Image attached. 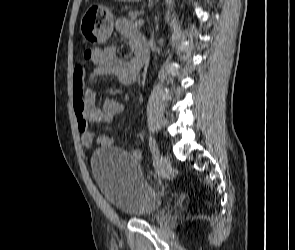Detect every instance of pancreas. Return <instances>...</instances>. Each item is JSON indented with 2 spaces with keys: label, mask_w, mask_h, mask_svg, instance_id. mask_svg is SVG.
I'll list each match as a JSON object with an SVG mask.
<instances>
[{
  "label": "pancreas",
  "mask_w": 295,
  "mask_h": 250,
  "mask_svg": "<svg viewBox=\"0 0 295 250\" xmlns=\"http://www.w3.org/2000/svg\"><path fill=\"white\" fill-rule=\"evenodd\" d=\"M140 15L139 11H134V12H129V18L131 19L133 23V25H135L137 27V17Z\"/></svg>",
  "instance_id": "obj_1"
}]
</instances>
